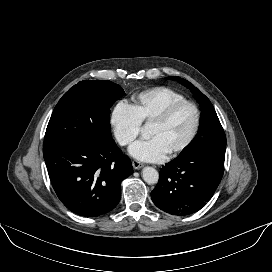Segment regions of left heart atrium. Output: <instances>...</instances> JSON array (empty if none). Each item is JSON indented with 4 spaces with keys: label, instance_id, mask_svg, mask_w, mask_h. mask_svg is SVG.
I'll return each mask as SVG.
<instances>
[{
    "label": "left heart atrium",
    "instance_id": "39dd6f15",
    "mask_svg": "<svg viewBox=\"0 0 272 272\" xmlns=\"http://www.w3.org/2000/svg\"><path fill=\"white\" fill-rule=\"evenodd\" d=\"M129 153L141 161L159 162L166 157L168 152L158 137H150L135 142L130 147Z\"/></svg>",
    "mask_w": 272,
    "mask_h": 272
}]
</instances>
